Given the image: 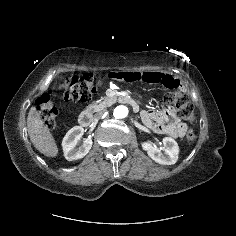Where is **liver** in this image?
Instances as JSON below:
<instances>
[{"instance_id": "1", "label": "liver", "mask_w": 236, "mask_h": 236, "mask_svg": "<svg viewBox=\"0 0 236 236\" xmlns=\"http://www.w3.org/2000/svg\"><path fill=\"white\" fill-rule=\"evenodd\" d=\"M27 130L31 142L40 153L47 157L58 155L56 142L34 106L30 108L28 113Z\"/></svg>"}]
</instances>
